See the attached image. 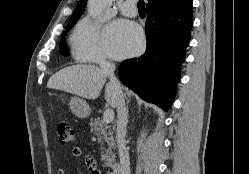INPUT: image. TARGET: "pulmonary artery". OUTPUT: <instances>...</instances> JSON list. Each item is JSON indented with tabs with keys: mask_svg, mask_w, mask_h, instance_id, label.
Here are the masks:
<instances>
[{
	"mask_svg": "<svg viewBox=\"0 0 249 174\" xmlns=\"http://www.w3.org/2000/svg\"><path fill=\"white\" fill-rule=\"evenodd\" d=\"M136 0H126L120 7V11L128 17L137 16Z\"/></svg>",
	"mask_w": 249,
	"mask_h": 174,
	"instance_id": "pulmonary-artery-1",
	"label": "pulmonary artery"
}]
</instances>
